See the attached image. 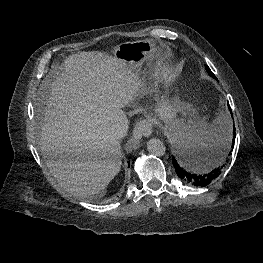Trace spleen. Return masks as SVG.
I'll return each mask as SVG.
<instances>
[{
	"mask_svg": "<svg viewBox=\"0 0 263 263\" xmlns=\"http://www.w3.org/2000/svg\"><path fill=\"white\" fill-rule=\"evenodd\" d=\"M169 136L179 150L197 154L196 168L204 171L223 160L231 140V122L222 117L212 124L178 122Z\"/></svg>",
	"mask_w": 263,
	"mask_h": 263,
	"instance_id": "spleen-1",
	"label": "spleen"
}]
</instances>
